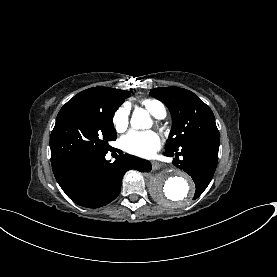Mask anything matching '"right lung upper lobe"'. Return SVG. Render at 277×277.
<instances>
[{
	"label": "right lung upper lobe",
	"instance_id": "obj_1",
	"mask_svg": "<svg viewBox=\"0 0 277 277\" xmlns=\"http://www.w3.org/2000/svg\"><path fill=\"white\" fill-rule=\"evenodd\" d=\"M128 92L114 88L93 87L78 93L69 101H85L107 109H118L125 101Z\"/></svg>",
	"mask_w": 277,
	"mask_h": 277
}]
</instances>
